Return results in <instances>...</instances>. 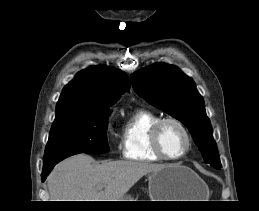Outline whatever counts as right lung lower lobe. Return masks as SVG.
I'll return each instance as SVG.
<instances>
[{
  "label": "right lung lower lobe",
  "mask_w": 259,
  "mask_h": 211,
  "mask_svg": "<svg viewBox=\"0 0 259 211\" xmlns=\"http://www.w3.org/2000/svg\"><path fill=\"white\" fill-rule=\"evenodd\" d=\"M56 165V163L49 165V166H44L43 167V172H42V181H44L46 179V177L48 176V174L51 172V170L53 169V167Z\"/></svg>",
  "instance_id": "obj_1"
}]
</instances>
